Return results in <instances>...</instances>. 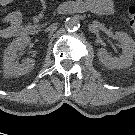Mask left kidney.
I'll return each instance as SVG.
<instances>
[{
	"label": "left kidney",
	"mask_w": 135,
	"mask_h": 135,
	"mask_svg": "<svg viewBox=\"0 0 135 135\" xmlns=\"http://www.w3.org/2000/svg\"><path fill=\"white\" fill-rule=\"evenodd\" d=\"M115 39H117L122 46V55L119 58L112 57L106 49L98 50V58L102 64L109 69H124L132 65L133 56L135 55V42L127 34L121 31L115 32Z\"/></svg>",
	"instance_id": "1"
}]
</instances>
